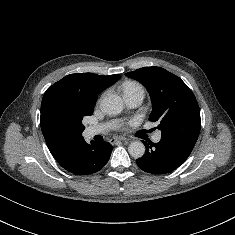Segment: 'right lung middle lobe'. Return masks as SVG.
<instances>
[{
  "instance_id": "dd1d6c3e",
  "label": "right lung middle lobe",
  "mask_w": 235,
  "mask_h": 235,
  "mask_svg": "<svg viewBox=\"0 0 235 235\" xmlns=\"http://www.w3.org/2000/svg\"><path fill=\"white\" fill-rule=\"evenodd\" d=\"M94 105L76 99L62 101L52 111V126L64 138L81 137L85 128L82 120L93 113Z\"/></svg>"
}]
</instances>
